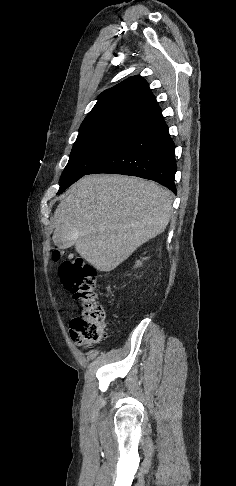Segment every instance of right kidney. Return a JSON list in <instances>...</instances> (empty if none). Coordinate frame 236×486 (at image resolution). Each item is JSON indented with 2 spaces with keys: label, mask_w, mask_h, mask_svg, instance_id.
<instances>
[{
  "label": "right kidney",
  "mask_w": 236,
  "mask_h": 486,
  "mask_svg": "<svg viewBox=\"0 0 236 486\" xmlns=\"http://www.w3.org/2000/svg\"><path fill=\"white\" fill-rule=\"evenodd\" d=\"M137 265H141V262L140 261H137Z\"/></svg>",
  "instance_id": "1"
}]
</instances>
